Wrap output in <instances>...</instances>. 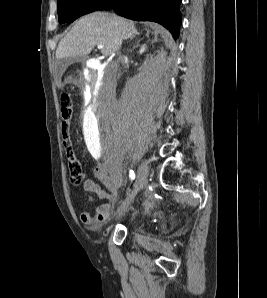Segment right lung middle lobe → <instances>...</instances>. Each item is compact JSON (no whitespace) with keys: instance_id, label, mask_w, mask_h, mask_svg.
<instances>
[{"instance_id":"right-lung-middle-lobe-1","label":"right lung middle lobe","mask_w":267,"mask_h":298,"mask_svg":"<svg viewBox=\"0 0 267 298\" xmlns=\"http://www.w3.org/2000/svg\"><path fill=\"white\" fill-rule=\"evenodd\" d=\"M105 0H58L60 23H71L80 16L95 11Z\"/></svg>"}]
</instances>
